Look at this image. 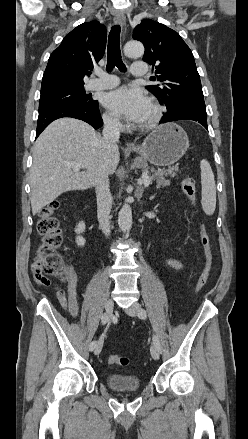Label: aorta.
I'll use <instances>...</instances> for the list:
<instances>
[{"instance_id":"1","label":"aorta","mask_w":248,"mask_h":439,"mask_svg":"<svg viewBox=\"0 0 248 439\" xmlns=\"http://www.w3.org/2000/svg\"><path fill=\"white\" fill-rule=\"evenodd\" d=\"M124 53L127 57H140L144 53V46L139 41H129L124 46ZM128 202L126 199L118 213V225L124 233L132 227V209Z\"/></svg>"}]
</instances>
